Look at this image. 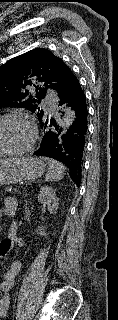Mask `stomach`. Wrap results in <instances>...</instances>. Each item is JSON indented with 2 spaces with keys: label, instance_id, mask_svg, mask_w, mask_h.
<instances>
[{
  "label": "stomach",
  "instance_id": "stomach-1",
  "mask_svg": "<svg viewBox=\"0 0 118 320\" xmlns=\"http://www.w3.org/2000/svg\"><path fill=\"white\" fill-rule=\"evenodd\" d=\"M45 164L36 157L9 158L0 162V186L19 183L21 181H33L42 176Z\"/></svg>",
  "mask_w": 118,
  "mask_h": 320
}]
</instances>
